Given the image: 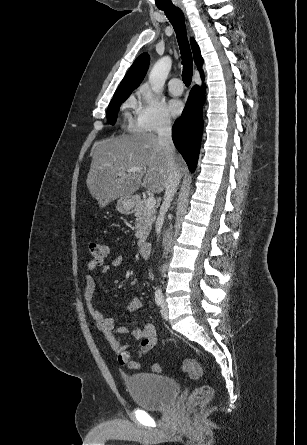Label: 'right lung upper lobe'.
<instances>
[{"mask_svg": "<svg viewBox=\"0 0 307 445\" xmlns=\"http://www.w3.org/2000/svg\"><path fill=\"white\" fill-rule=\"evenodd\" d=\"M191 46L194 54L195 63L198 66V69L201 70V66L203 63V59L200 54L199 47L194 39H191ZM149 65V55L147 53H143L137 57L134 61L125 77L121 81L119 87L114 93V97L111 102L128 98L131 92L138 87V85L143 80ZM110 102V103H111Z\"/></svg>", "mask_w": 307, "mask_h": 445, "instance_id": "obj_1", "label": "right lung upper lobe"}]
</instances>
